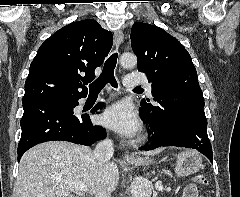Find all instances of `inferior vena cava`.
<instances>
[{
    "label": "inferior vena cava",
    "instance_id": "1",
    "mask_svg": "<svg viewBox=\"0 0 240 197\" xmlns=\"http://www.w3.org/2000/svg\"><path fill=\"white\" fill-rule=\"evenodd\" d=\"M113 153V142L110 139L100 141L94 149V156L100 164L108 162L113 156ZM95 197H111V194L110 192L101 191L98 192Z\"/></svg>",
    "mask_w": 240,
    "mask_h": 197
}]
</instances>
